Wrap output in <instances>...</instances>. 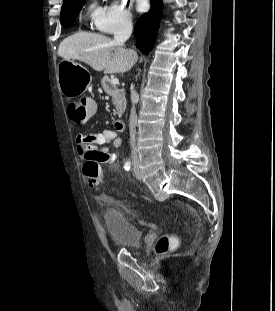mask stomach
I'll return each mask as SVG.
<instances>
[{
  "label": "stomach",
  "mask_w": 275,
  "mask_h": 311,
  "mask_svg": "<svg viewBox=\"0 0 275 311\" xmlns=\"http://www.w3.org/2000/svg\"><path fill=\"white\" fill-rule=\"evenodd\" d=\"M58 85L69 98L82 95L92 81L89 71L73 60L63 59L58 64Z\"/></svg>",
  "instance_id": "stomach-1"
}]
</instances>
